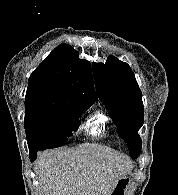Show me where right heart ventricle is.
<instances>
[{
    "label": "right heart ventricle",
    "mask_w": 178,
    "mask_h": 195,
    "mask_svg": "<svg viewBox=\"0 0 178 195\" xmlns=\"http://www.w3.org/2000/svg\"><path fill=\"white\" fill-rule=\"evenodd\" d=\"M85 132L94 138H103L110 132L109 117L103 111H97L85 121Z\"/></svg>",
    "instance_id": "right-heart-ventricle-1"
}]
</instances>
